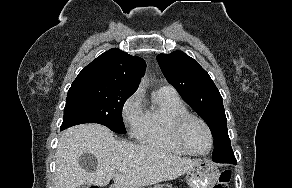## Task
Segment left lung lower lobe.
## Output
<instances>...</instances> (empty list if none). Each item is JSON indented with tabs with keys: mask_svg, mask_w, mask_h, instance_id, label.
Here are the masks:
<instances>
[{
	"mask_svg": "<svg viewBox=\"0 0 292 188\" xmlns=\"http://www.w3.org/2000/svg\"><path fill=\"white\" fill-rule=\"evenodd\" d=\"M219 162H231V163H236V159H235V156L232 155L229 159L220 160Z\"/></svg>",
	"mask_w": 292,
	"mask_h": 188,
	"instance_id": "left-lung-lower-lobe-1",
	"label": "left lung lower lobe"
}]
</instances>
